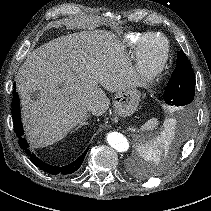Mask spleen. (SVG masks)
<instances>
[{
	"label": "spleen",
	"instance_id": "spleen-1",
	"mask_svg": "<svg viewBox=\"0 0 211 211\" xmlns=\"http://www.w3.org/2000/svg\"><path fill=\"white\" fill-rule=\"evenodd\" d=\"M158 126V119L157 118H152L149 121H147L143 126V130H152Z\"/></svg>",
	"mask_w": 211,
	"mask_h": 211
}]
</instances>
